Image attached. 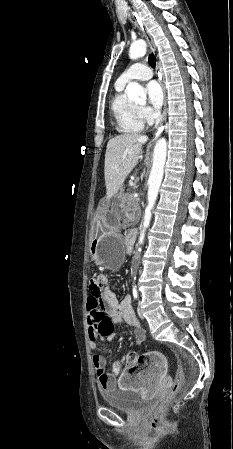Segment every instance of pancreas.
Segmentation results:
<instances>
[{"label": "pancreas", "instance_id": "pancreas-1", "mask_svg": "<svg viewBox=\"0 0 233 449\" xmlns=\"http://www.w3.org/2000/svg\"><path fill=\"white\" fill-rule=\"evenodd\" d=\"M124 198L133 203L131 206L135 212L136 217L138 218L140 215V207L137 203V199L132 194H125Z\"/></svg>", "mask_w": 233, "mask_h": 449}]
</instances>
